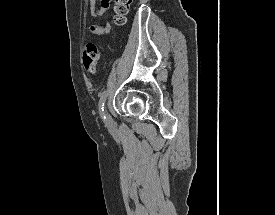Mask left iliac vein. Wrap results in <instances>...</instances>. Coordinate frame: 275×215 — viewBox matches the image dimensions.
I'll use <instances>...</instances> for the list:
<instances>
[{"label": "left iliac vein", "mask_w": 275, "mask_h": 215, "mask_svg": "<svg viewBox=\"0 0 275 215\" xmlns=\"http://www.w3.org/2000/svg\"><path fill=\"white\" fill-rule=\"evenodd\" d=\"M104 115H105V124L107 127H111L113 124V120L111 118V116L108 114L107 110L104 111Z\"/></svg>", "instance_id": "obj_1"}]
</instances>
